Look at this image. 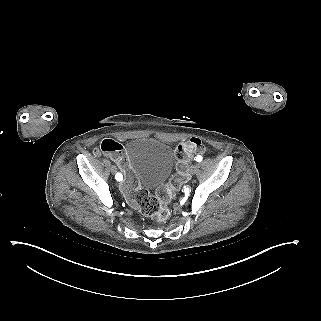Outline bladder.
<instances>
[{
    "instance_id": "bladder-1",
    "label": "bladder",
    "mask_w": 321,
    "mask_h": 321,
    "mask_svg": "<svg viewBox=\"0 0 321 321\" xmlns=\"http://www.w3.org/2000/svg\"><path fill=\"white\" fill-rule=\"evenodd\" d=\"M126 153L139 183L150 189L160 187L172 168V148L159 139L150 137L132 139L127 143Z\"/></svg>"
}]
</instances>
